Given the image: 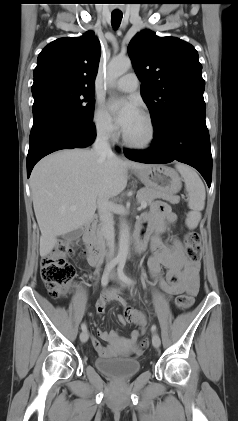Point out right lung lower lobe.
I'll return each mask as SVG.
<instances>
[{
    "instance_id": "right-lung-lower-lobe-1",
    "label": "right lung lower lobe",
    "mask_w": 238,
    "mask_h": 421,
    "mask_svg": "<svg viewBox=\"0 0 238 421\" xmlns=\"http://www.w3.org/2000/svg\"><path fill=\"white\" fill-rule=\"evenodd\" d=\"M33 127L29 138L27 176L44 156L61 149L83 148L96 136L93 122H86L53 103L33 106Z\"/></svg>"
}]
</instances>
